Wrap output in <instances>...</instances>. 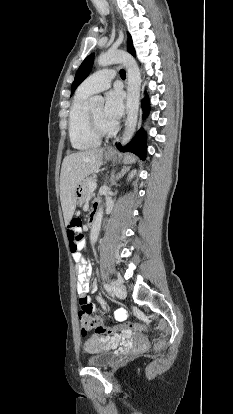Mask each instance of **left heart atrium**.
Returning <instances> with one entry per match:
<instances>
[{"label": "left heart atrium", "instance_id": "1", "mask_svg": "<svg viewBox=\"0 0 233 414\" xmlns=\"http://www.w3.org/2000/svg\"><path fill=\"white\" fill-rule=\"evenodd\" d=\"M124 111L123 94L119 89H114L106 94L105 106L103 109L106 120L115 125L121 118Z\"/></svg>", "mask_w": 233, "mask_h": 414}]
</instances>
